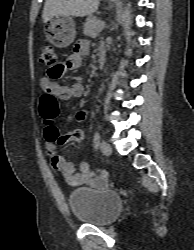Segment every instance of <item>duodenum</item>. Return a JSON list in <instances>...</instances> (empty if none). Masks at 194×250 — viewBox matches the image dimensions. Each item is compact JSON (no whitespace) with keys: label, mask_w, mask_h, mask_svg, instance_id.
Returning a JSON list of instances; mask_svg holds the SVG:
<instances>
[{"label":"duodenum","mask_w":194,"mask_h":250,"mask_svg":"<svg viewBox=\"0 0 194 250\" xmlns=\"http://www.w3.org/2000/svg\"><path fill=\"white\" fill-rule=\"evenodd\" d=\"M98 62H99V67L100 68H103L105 66V64H106V55L103 52H101L99 54Z\"/></svg>","instance_id":"duodenum-1"}]
</instances>
